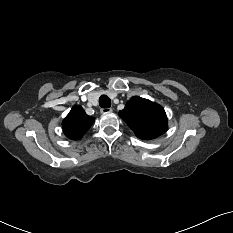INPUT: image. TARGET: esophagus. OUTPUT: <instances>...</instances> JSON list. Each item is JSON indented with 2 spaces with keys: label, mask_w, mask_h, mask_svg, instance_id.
<instances>
[{
  "label": "esophagus",
  "mask_w": 233,
  "mask_h": 233,
  "mask_svg": "<svg viewBox=\"0 0 233 233\" xmlns=\"http://www.w3.org/2000/svg\"><path fill=\"white\" fill-rule=\"evenodd\" d=\"M112 111H113L112 108L101 109L102 114H108V113H111Z\"/></svg>",
  "instance_id": "obj_1"
}]
</instances>
